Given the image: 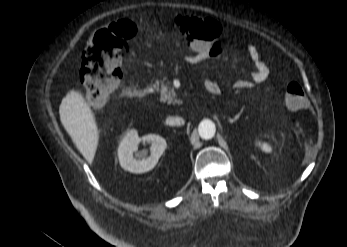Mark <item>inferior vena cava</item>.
Listing matches in <instances>:
<instances>
[{
    "label": "inferior vena cava",
    "instance_id": "inferior-vena-cava-1",
    "mask_svg": "<svg viewBox=\"0 0 347 247\" xmlns=\"http://www.w3.org/2000/svg\"><path fill=\"white\" fill-rule=\"evenodd\" d=\"M167 123L169 125H183L184 124V120L180 117H169L167 119Z\"/></svg>",
    "mask_w": 347,
    "mask_h": 247
}]
</instances>
